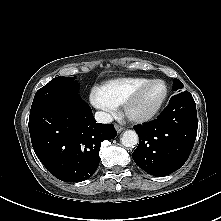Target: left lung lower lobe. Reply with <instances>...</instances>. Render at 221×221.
Instances as JSON below:
<instances>
[{"label": "left lung lower lobe", "instance_id": "0a47b994", "mask_svg": "<svg viewBox=\"0 0 221 221\" xmlns=\"http://www.w3.org/2000/svg\"><path fill=\"white\" fill-rule=\"evenodd\" d=\"M197 127L196 104L192 95L184 92L173 96L157 119L134 127L139 135V145L132 158L150 175H169L187 161Z\"/></svg>", "mask_w": 221, "mask_h": 221}]
</instances>
